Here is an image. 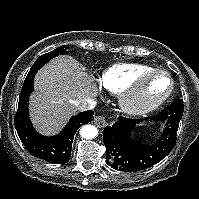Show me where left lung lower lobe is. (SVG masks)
<instances>
[{
  "mask_svg": "<svg viewBox=\"0 0 199 199\" xmlns=\"http://www.w3.org/2000/svg\"><path fill=\"white\" fill-rule=\"evenodd\" d=\"M183 101L178 99L150 121L164 123L161 137L152 146L141 144L130 137L139 119L119 117L112 126H106L103 141L107 151V162L116 170L135 172L145 170L167 156L176 144L179 122L183 115Z\"/></svg>",
  "mask_w": 199,
  "mask_h": 199,
  "instance_id": "obj_1",
  "label": "left lung lower lobe"
}]
</instances>
